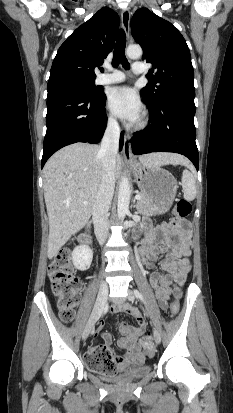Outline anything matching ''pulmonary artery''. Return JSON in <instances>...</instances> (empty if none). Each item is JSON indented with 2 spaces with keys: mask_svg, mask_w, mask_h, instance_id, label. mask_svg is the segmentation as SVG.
I'll use <instances>...</instances> for the list:
<instances>
[{
  "mask_svg": "<svg viewBox=\"0 0 233 413\" xmlns=\"http://www.w3.org/2000/svg\"><path fill=\"white\" fill-rule=\"evenodd\" d=\"M133 72L135 74H141L144 72V67L141 63L133 64ZM125 80V74L118 70L108 69L107 73L101 74L97 80V84H115Z\"/></svg>",
  "mask_w": 233,
  "mask_h": 413,
  "instance_id": "e3ab8cb5",
  "label": "pulmonary artery"
}]
</instances>
